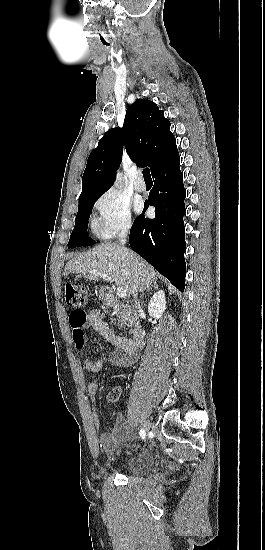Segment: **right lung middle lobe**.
Masks as SVG:
<instances>
[{
    "mask_svg": "<svg viewBox=\"0 0 265 550\" xmlns=\"http://www.w3.org/2000/svg\"><path fill=\"white\" fill-rule=\"evenodd\" d=\"M98 198L99 197L79 199L75 227L71 233L68 248L94 244V241L87 237V224L93 205Z\"/></svg>",
    "mask_w": 265,
    "mask_h": 550,
    "instance_id": "right-lung-middle-lobe-1",
    "label": "right lung middle lobe"
}]
</instances>
